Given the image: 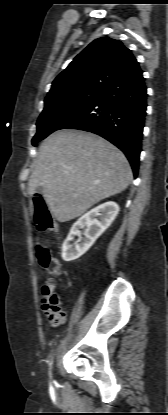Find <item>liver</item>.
<instances>
[{"mask_svg": "<svg viewBox=\"0 0 168 415\" xmlns=\"http://www.w3.org/2000/svg\"><path fill=\"white\" fill-rule=\"evenodd\" d=\"M132 177L125 155L107 140L89 132L61 130L41 144L29 194L41 188L52 216L67 222L123 192Z\"/></svg>", "mask_w": 168, "mask_h": 415, "instance_id": "obj_1", "label": "liver"}]
</instances>
